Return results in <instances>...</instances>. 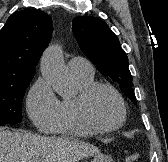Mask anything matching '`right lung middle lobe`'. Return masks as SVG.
Instances as JSON below:
<instances>
[{
	"instance_id": "right-lung-middle-lobe-1",
	"label": "right lung middle lobe",
	"mask_w": 168,
	"mask_h": 162,
	"mask_svg": "<svg viewBox=\"0 0 168 162\" xmlns=\"http://www.w3.org/2000/svg\"><path fill=\"white\" fill-rule=\"evenodd\" d=\"M33 77L0 83V126L21 122L24 92Z\"/></svg>"
}]
</instances>
